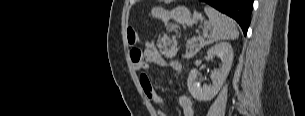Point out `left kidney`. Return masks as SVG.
Segmentation results:
<instances>
[{
  "label": "left kidney",
  "mask_w": 305,
  "mask_h": 116,
  "mask_svg": "<svg viewBox=\"0 0 305 116\" xmlns=\"http://www.w3.org/2000/svg\"><path fill=\"white\" fill-rule=\"evenodd\" d=\"M209 58L215 56L220 57L222 64L219 69L214 70L211 74L212 85H204L200 87L197 79L199 72L197 69H192L189 73L187 85L191 96L198 101H210L222 88L230 70L234 58L233 49L230 43L222 42L207 51Z\"/></svg>",
  "instance_id": "5707ae66"
}]
</instances>
